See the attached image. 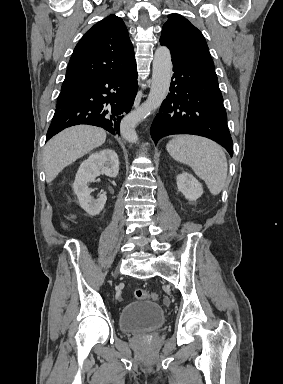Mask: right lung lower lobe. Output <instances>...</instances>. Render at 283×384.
I'll list each match as a JSON object with an SVG mask.
<instances>
[{
    "instance_id": "right-lung-lower-lobe-1",
    "label": "right lung lower lobe",
    "mask_w": 283,
    "mask_h": 384,
    "mask_svg": "<svg viewBox=\"0 0 283 384\" xmlns=\"http://www.w3.org/2000/svg\"><path fill=\"white\" fill-rule=\"evenodd\" d=\"M137 89L136 66L126 72L86 82L57 102L46 141L61 130L78 124L99 126L119 135L120 121L124 113L131 110Z\"/></svg>"
}]
</instances>
